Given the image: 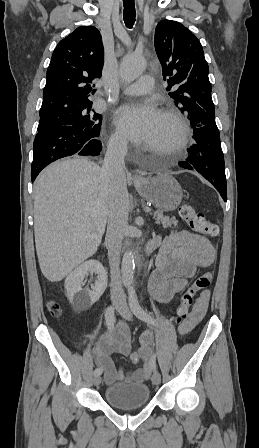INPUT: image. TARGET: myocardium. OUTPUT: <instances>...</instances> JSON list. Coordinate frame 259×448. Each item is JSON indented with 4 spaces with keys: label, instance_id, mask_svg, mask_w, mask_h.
I'll use <instances>...</instances> for the list:
<instances>
[{
    "label": "myocardium",
    "instance_id": "f54148a6",
    "mask_svg": "<svg viewBox=\"0 0 259 448\" xmlns=\"http://www.w3.org/2000/svg\"><path fill=\"white\" fill-rule=\"evenodd\" d=\"M160 117L170 119L176 126V136L174 140L162 151L178 155L183 149L187 136L188 126L182 113L174 106L166 104L160 112Z\"/></svg>",
    "mask_w": 259,
    "mask_h": 448
}]
</instances>
